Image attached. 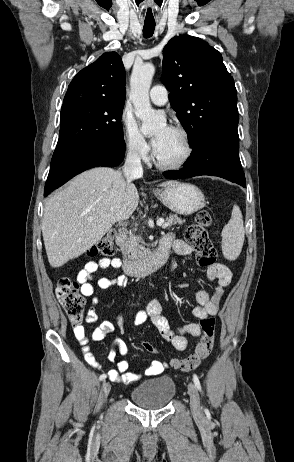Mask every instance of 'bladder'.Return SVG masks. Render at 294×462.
Masks as SVG:
<instances>
[{"mask_svg": "<svg viewBox=\"0 0 294 462\" xmlns=\"http://www.w3.org/2000/svg\"><path fill=\"white\" fill-rule=\"evenodd\" d=\"M176 395V383L171 376L163 375L142 381L130 393L131 401L142 408L165 407Z\"/></svg>", "mask_w": 294, "mask_h": 462, "instance_id": "bladder-1", "label": "bladder"}]
</instances>
